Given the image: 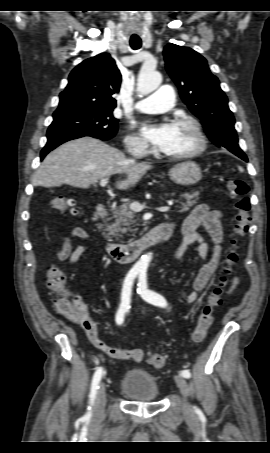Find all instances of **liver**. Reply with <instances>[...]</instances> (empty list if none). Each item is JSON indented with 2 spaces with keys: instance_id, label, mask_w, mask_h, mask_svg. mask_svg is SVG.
Wrapping results in <instances>:
<instances>
[{
  "instance_id": "1",
  "label": "liver",
  "mask_w": 270,
  "mask_h": 453,
  "mask_svg": "<svg viewBox=\"0 0 270 453\" xmlns=\"http://www.w3.org/2000/svg\"><path fill=\"white\" fill-rule=\"evenodd\" d=\"M152 166L127 159L116 148L92 138L66 142L48 154L33 177L34 186L59 187L69 184L89 188L91 184L113 174H124L116 183L120 190H131Z\"/></svg>"
}]
</instances>
